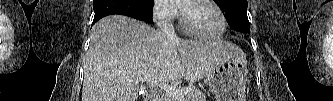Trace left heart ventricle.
I'll list each match as a JSON object with an SVG mask.
<instances>
[{
    "instance_id": "b2bd125f",
    "label": "left heart ventricle",
    "mask_w": 333,
    "mask_h": 101,
    "mask_svg": "<svg viewBox=\"0 0 333 101\" xmlns=\"http://www.w3.org/2000/svg\"><path fill=\"white\" fill-rule=\"evenodd\" d=\"M185 11L193 29L204 34L217 33L221 20L217 11L207 3H185Z\"/></svg>"
}]
</instances>
